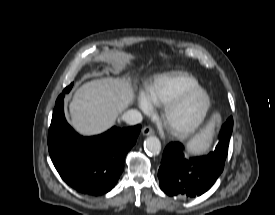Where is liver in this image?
<instances>
[{"mask_svg": "<svg viewBox=\"0 0 275 215\" xmlns=\"http://www.w3.org/2000/svg\"><path fill=\"white\" fill-rule=\"evenodd\" d=\"M135 99L130 76L101 78L83 84L70 102L71 124L80 134H99Z\"/></svg>", "mask_w": 275, "mask_h": 215, "instance_id": "obj_1", "label": "liver"}]
</instances>
